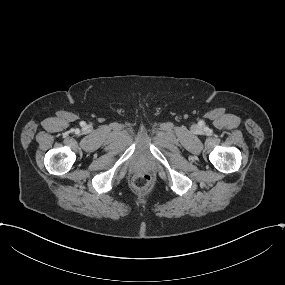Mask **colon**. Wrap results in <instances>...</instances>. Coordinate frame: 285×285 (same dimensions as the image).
<instances>
[{"label": "colon", "mask_w": 285, "mask_h": 285, "mask_svg": "<svg viewBox=\"0 0 285 285\" xmlns=\"http://www.w3.org/2000/svg\"><path fill=\"white\" fill-rule=\"evenodd\" d=\"M153 177L149 172H139L132 179V185L135 189L145 191L151 188Z\"/></svg>", "instance_id": "obj_1"}]
</instances>
